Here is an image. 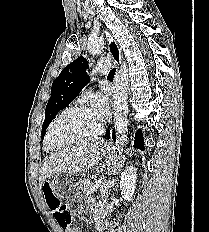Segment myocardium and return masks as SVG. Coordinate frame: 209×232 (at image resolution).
Wrapping results in <instances>:
<instances>
[{
	"label": "myocardium",
	"mask_w": 209,
	"mask_h": 232,
	"mask_svg": "<svg viewBox=\"0 0 209 232\" xmlns=\"http://www.w3.org/2000/svg\"><path fill=\"white\" fill-rule=\"evenodd\" d=\"M81 110H90V108L87 105L78 104V105H74V106H71V107H68V108L64 109L63 111H61L57 115V117L49 125L47 133H46V136H45V144H46V146L48 148H50L51 150H56V149H60V148H63L65 146H68V145H71V144H74V143H78V142L90 140V139L95 138L98 135H100V133L103 130V123L102 122H100L99 125H98V127L96 128V130L93 131L90 134H87V135L79 137V138L72 139V140H70V141H68L66 143L59 144V145H55L52 142V140H51L52 130H53L54 126L59 122V120L62 117H64L65 115H67V114H69L71 112L81 111Z\"/></svg>",
	"instance_id": "f54148a6"
}]
</instances>
